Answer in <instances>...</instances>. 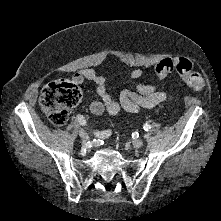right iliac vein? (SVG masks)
<instances>
[{"label":"right iliac vein","instance_id":"63e3f726","mask_svg":"<svg viewBox=\"0 0 221 221\" xmlns=\"http://www.w3.org/2000/svg\"><path fill=\"white\" fill-rule=\"evenodd\" d=\"M79 135L84 142L89 140V136L87 135V133L83 129H80Z\"/></svg>","mask_w":221,"mask_h":221}]
</instances>
